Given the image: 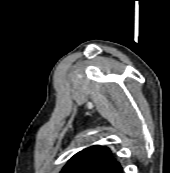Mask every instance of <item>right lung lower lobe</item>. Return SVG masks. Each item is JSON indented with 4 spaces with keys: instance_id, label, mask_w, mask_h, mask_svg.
<instances>
[{
    "instance_id": "1",
    "label": "right lung lower lobe",
    "mask_w": 170,
    "mask_h": 173,
    "mask_svg": "<svg viewBox=\"0 0 170 173\" xmlns=\"http://www.w3.org/2000/svg\"><path fill=\"white\" fill-rule=\"evenodd\" d=\"M107 173H123V168L119 165L109 171Z\"/></svg>"
}]
</instances>
